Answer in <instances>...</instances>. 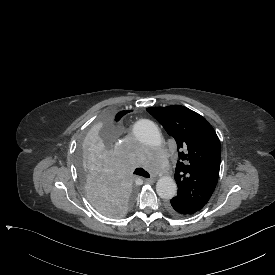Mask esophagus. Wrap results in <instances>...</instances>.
<instances>
[{
    "label": "esophagus",
    "mask_w": 275,
    "mask_h": 275,
    "mask_svg": "<svg viewBox=\"0 0 275 275\" xmlns=\"http://www.w3.org/2000/svg\"><path fill=\"white\" fill-rule=\"evenodd\" d=\"M153 181H154L153 179H148V178L144 179V182H146V183H152Z\"/></svg>",
    "instance_id": "1"
}]
</instances>
